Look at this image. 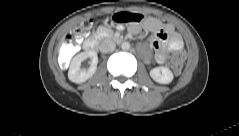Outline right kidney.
I'll return each instance as SVG.
<instances>
[{
	"label": "right kidney",
	"mask_w": 239,
	"mask_h": 136,
	"mask_svg": "<svg viewBox=\"0 0 239 136\" xmlns=\"http://www.w3.org/2000/svg\"><path fill=\"white\" fill-rule=\"evenodd\" d=\"M90 58V66L88 69H82L81 63ZM98 56L95 51H85L76 55L69 67L68 78L74 83L80 84L88 80L97 70Z\"/></svg>",
	"instance_id": "obj_1"
}]
</instances>
